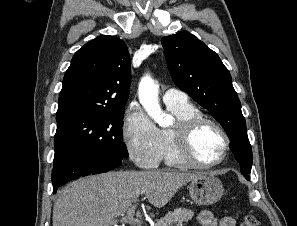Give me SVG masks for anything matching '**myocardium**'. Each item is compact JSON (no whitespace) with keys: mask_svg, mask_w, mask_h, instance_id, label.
Masks as SVG:
<instances>
[{"mask_svg":"<svg viewBox=\"0 0 297 226\" xmlns=\"http://www.w3.org/2000/svg\"><path fill=\"white\" fill-rule=\"evenodd\" d=\"M205 124L214 126L221 133L224 139L221 155L215 161L209 163L200 162L192 152L193 135L199 127ZM170 133L178 157L184 164L193 168H213L224 161L229 150L230 137L225 128L213 118L196 116L186 120L177 121L176 124L171 128Z\"/></svg>","mask_w":297,"mask_h":226,"instance_id":"obj_1","label":"myocardium"}]
</instances>
